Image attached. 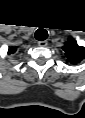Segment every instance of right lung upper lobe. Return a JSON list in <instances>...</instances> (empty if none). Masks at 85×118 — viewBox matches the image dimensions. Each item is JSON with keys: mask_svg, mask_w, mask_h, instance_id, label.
<instances>
[{"mask_svg": "<svg viewBox=\"0 0 85 118\" xmlns=\"http://www.w3.org/2000/svg\"><path fill=\"white\" fill-rule=\"evenodd\" d=\"M15 51H16V49H14V48L10 49V53H14Z\"/></svg>", "mask_w": 85, "mask_h": 118, "instance_id": "right-lung-upper-lobe-1", "label": "right lung upper lobe"}]
</instances>
